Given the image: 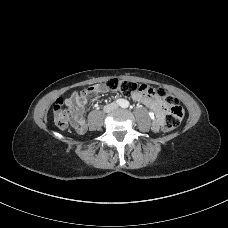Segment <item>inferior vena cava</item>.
Instances as JSON below:
<instances>
[{"mask_svg":"<svg viewBox=\"0 0 228 228\" xmlns=\"http://www.w3.org/2000/svg\"><path fill=\"white\" fill-rule=\"evenodd\" d=\"M118 106L116 104H110V105H106L104 106V111L105 112H110L114 109H116Z\"/></svg>","mask_w":228,"mask_h":228,"instance_id":"602c4592","label":"inferior vena cava"}]
</instances>
